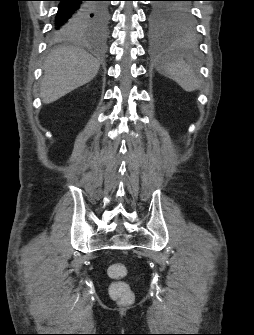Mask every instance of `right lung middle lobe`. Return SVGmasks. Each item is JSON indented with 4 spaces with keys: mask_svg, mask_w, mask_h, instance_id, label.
Wrapping results in <instances>:
<instances>
[{
    "mask_svg": "<svg viewBox=\"0 0 254 335\" xmlns=\"http://www.w3.org/2000/svg\"><path fill=\"white\" fill-rule=\"evenodd\" d=\"M99 12V19L92 25V31L89 34L83 33L79 31V29L73 30L72 32H66L62 34L57 35H51V40L58 41L63 40L66 38L78 36V35H92V34H100L105 32L107 20H108V9H107V3L105 2H99L96 4Z\"/></svg>",
    "mask_w": 254,
    "mask_h": 335,
    "instance_id": "1",
    "label": "right lung middle lobe"
}]
</instances>
